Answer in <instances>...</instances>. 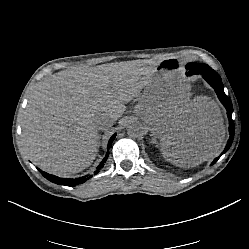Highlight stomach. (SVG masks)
I'll list each match as a JSON object with an SVG mask.
<instances>
[{
  "mask_svg": "<svg viewBox=\"0 0 249 249\" xmlns=\"http://www.w3.org/2000/svg\"><path fill=\"white\" fill-rule=\"evenodd\" d=\"M191 85L185 80L179 61L168 58L159 62L153 81L141 97L145 125L154 131L169 128L185 117L191 108Z\"/></svg>",
  "mask_w": 249,
  "mask_h": 249,
  "instance_id": "obj_1",
  "label": "stomach"
}]
</instances>
